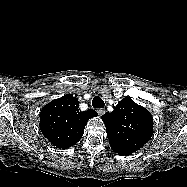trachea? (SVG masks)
<instances>
[{"label": "trachea", "instance_id": "trachea-1", "mask_svg": "<svg viewBox=\"0 0 187 187\" xmlns=\"http://www.w3.org/2000/svg\"><path fill=\"white\" fill-rule=\"evenodd\" d=\"M104 105H105V103H104V101L102 100L101 97L96 96V97L93 98L92 106L94 108H104Z\"/></svg>", "mask_w": 187, "mask_h": 187}]
</instances>
